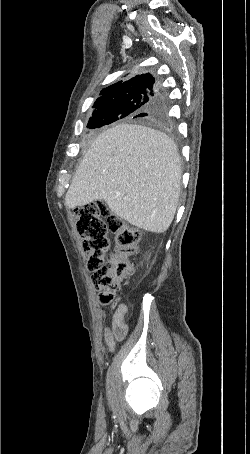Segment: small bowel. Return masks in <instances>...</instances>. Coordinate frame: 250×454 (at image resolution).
I'll list each match as a JSON object with an SVG mask.
<instances>
[{
    "mask_svg": "<svg viewBox=\"0 0 250 454\" xmlns=\"http://www.w3.org/2000/svg\"><path fill=\"white\" fill-rule=\"evenodd\" d=\"M128 314V307L120 304L113 314L111 327L107 328L104 333V340L110 351H113L117 341L122 340L128 332V326L125 318Z\"/></svg>",
    "mask_w": 250,
    "mask_h": 454,
    "instance_id": "small-bowel-1",
    "label": "small bowel"
}]
</instances>
